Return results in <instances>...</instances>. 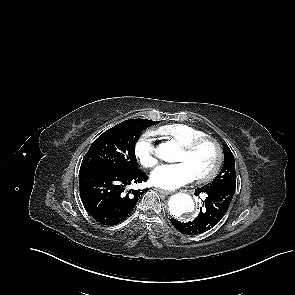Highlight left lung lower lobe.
I'll return each mask as SVG.
<instances>
[{
	"label": "left lung lower lobe",
	"instance_id": "obj_1",
	"mask_svg": "<svg viewBox=\"0 0 295 295\" xmlns=\"http://www.w3.org/2000/svg\"><path fill=\"white\" fill-rule=\"evenodd\" d=\"M235 193L232 186H203L195 189V195H204L203 208L190 222L183 223L171 219L172 225L187 235L202 234L215 227L226 214Z\"/></svg>",
	"mask_w": 295,
	"mask_h": 295
}]
</instances>
